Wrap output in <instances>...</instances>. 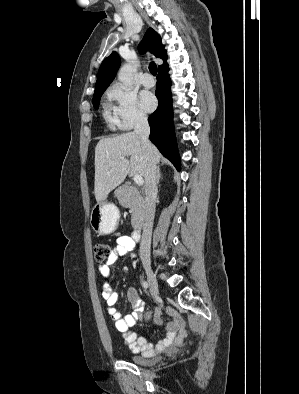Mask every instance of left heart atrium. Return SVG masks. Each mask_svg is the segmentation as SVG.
<instances>
[{
	"instance_id": "1",
	"label": "left heart atrium",
	"mask_w": 299,
	"mask_h": 394,
	"mask_svg": "<svg viewBox=\"0 0 299 394\" xmlns=\"http://www.w3.org/2000/svg\"><path fill=\"white\" fill-rule=\"evenodd\" d=\"M140 104L144 111L152 112L156 108L157 101L152 93L143 91L140 94Z\"/></svg>"
}]
</instances>
